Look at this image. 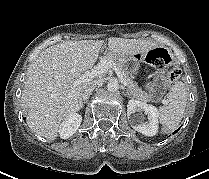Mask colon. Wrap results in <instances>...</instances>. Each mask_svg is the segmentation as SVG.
Instances as JSON below:
<instances>
[{
    "mask_svg": "<svg viewBox=\"0 0 209 179\" xmlns=\"http://www.w3.org/2000/svg\"><path fill=\"white\" fill-rule=\"evenodd\" d=\"M136 57L158 69L166 68L171 61L168 52L163 48H153L147 53L138 54ZM180 74L181 70L179 68L172 67L168 74V83H175L179 79Z\"/></svg>",
    "mask_w": 209,
    "mask_h": 179,
    "instance_id": "1",
    "label": "colon"
}]
</instances>
